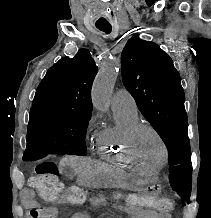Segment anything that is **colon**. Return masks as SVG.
I'll use <instances>...</instances> for the list:
<instances>
[{
    "label": "colon",
    "instance_id": "obj_1",
    "mask_svg": "<svg viewBox=\"0 0 211 218\" xmlns=\"http://www.w3.org/2000/svg\"><path fill=\"white\" fill-rule=\"evenodd\" d=\"M29 185L38 192L43 200L48 202L81 203L86 200V194L80 188H65L58 179L56 165L50 161H43L35 167L29 178ZM114 198L121 199L132 207L155 209L161 213H167L172 209L171 200L145 193L115 194ZM31 215L37 217L38 211L32 210Z\"/></svg>",
    "mask_w": 211,
    "mask_h": 218
}]
</instances>
